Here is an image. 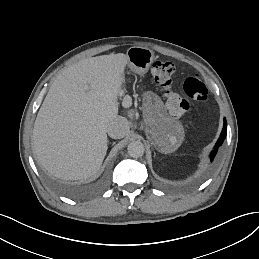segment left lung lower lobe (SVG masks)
Here are the masks:
<instances>
[{
  "label": "left lung lower lobe",
  "instance_id": "left-lung-lower-lobe-1",
  "mask_svg": "<svg viewBox=\"0 0 259 259\" xmlns=\"http://www.w3.org/2000/svg\"><path fill=\"white\" fill-rule=\"evenodd\" d=\"M226 133H227V122H226V119L224 118L223 130H222L221 135H220V137H219V139H218V141H217V143H216V145L214 147V150L211 152V155H210V160L211 161H213L219 146L222 145V143H223V141H224V139L226 137Z\"/></svg>",
  "mask_w": 259,
  "mask_h": 259
}]
</instances>
